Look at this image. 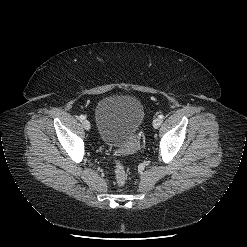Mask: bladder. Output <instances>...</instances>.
Listing matches in <instances>:
<instances>
[{"label": "bladder", "instance_id": "1", "mask_svg": "<svg viewBox=\"0 0 247 247\" xmlns=\"http://www.w3.org/2000/svg\"><path fill=\"white\" fill-rule=\"evenodd\" d=\"M145 111L139 99L131 95H112L96 106L95 119L100 141L123 154L137 146V134Z\"/></svg>", "mask_w": 247, "mask_h": 247}]
</instances>
